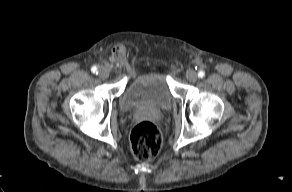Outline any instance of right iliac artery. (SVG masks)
Masks as SVG:
<instances>
[{
  "label": "right iliac artery",
  "instance_id": "obj_1",
  "mask_svg": "<svg viewBox=\"0 0 292 192\" xmlns=\"http://www.w3.org/2000/svg\"><path fill=\"white\" fill-rule=\"evenodd\" d=\"M91 71H92L93 73H96V74H97V67H96V66H93V67L91 68Z\"/></svg>",
  "mask_w": 292,
  "mask_h": 192
}]
</instances>
